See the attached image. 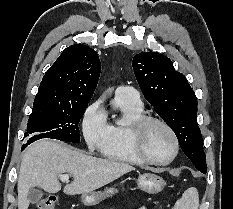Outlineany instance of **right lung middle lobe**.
Wrapping results in <instances>:
<instances>
[{
	"mask_svg": "<svg viewBox=\"0 0 233 209\" xmlns=\"http://www.w3.org/2000/svg\"><path fill=\"white\" fill-rule=\"evenodd\" d=\"M88 104L74 106L65 110L33 109L30 114L27 133L24 134L26 144L41 138H52L67 142H80L78 124Z\"/></svg>",
	"mask_w": 233,
	"mask_h": 209,
	"instance_id": "right-lung-middle-lobe-1",
	"label": "right lung middle lobe"
}]
</instances>
